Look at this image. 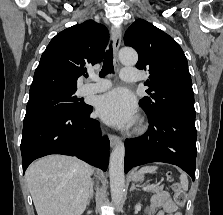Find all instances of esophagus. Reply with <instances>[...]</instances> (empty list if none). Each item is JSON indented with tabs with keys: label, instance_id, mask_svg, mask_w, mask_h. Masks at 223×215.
Returning a JSON list of instances; mask_svg holds the SVG:
<instances>
[{
	"label": "esophagus",
	"instance_id": "esophagus-1",
	"mask_svg": "<svg viewBox=\"0 0 223 215\" xmlns=\"http://www.w3.org/2000/svg\"><path fill=\"white\" fill-rule=\"evenodd\" d=\"M111 33L113 36V49H114V64L116 67L120 66V62L118 60V50L122 41V34L119 27L113 26L111 29ZM109 141L111 144V147H114L116 143L119 141V137L117 135H109Z\"/></svg>",
	"mask_w": 223,
	"mask_h": 215
}]
</instances>
